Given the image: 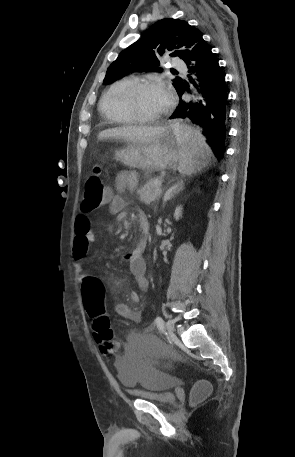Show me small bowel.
I'll return each instance as SVG.
<instances>
[{
    "label": "small bowel",
    "instance_id": "small-bowel-1",
    "mask_svg": "<svg viewBox=\"0 0 295 457\" xmlns=\"http://www.w3.org/2000/svg\"><path fill=\"white\" fill-rule=\"evenodd\" d=\"M137 186V178L133 173L121 172L116 180L115 187L117 190L116 194L110 193L109 198V211L112 214H121L125 207V200L122 197V193L131 192ZM143 219L148 223V220L143 212L139 213V220ZM94 241V233L91 227V221L85 214L77 215L75 219V240L73 246V270L78 281L84 285V283L94 276H89L84 273L82 260L87 255L90 245ZM146 247V240L142 239L134 251L124 256L125 261L128 263L130 272L134 276L138 289L141 291H147L149 288V282L145 277L146 264L143 259V252ZM131 300L133 302L139 301V293L134 290L131 293ZM115 312L123 317L134 322L140 321V314L132 309L126 303H117L115 305ZM153 330L152 326L147 327L143 332L133 333L130 335L126 345H139L140 342H156L151 335ZM118 347V345H116ZM141 353V351H140Z\"/></svg>",
    "mask_w": 295,
    "mask_h": 457
}]
</instances>
